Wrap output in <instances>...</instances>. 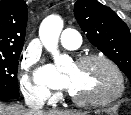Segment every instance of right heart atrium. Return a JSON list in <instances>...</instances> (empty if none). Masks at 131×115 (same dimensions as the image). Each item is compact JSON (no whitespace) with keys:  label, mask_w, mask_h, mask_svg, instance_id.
I'll use <instances>...</instances> for the list:
<instances>
[{"label":"right heart atrium","mask_w":131,"mask_h":115,"mask_svg":"<svg viewBox=\"0 0 131 115\" xmlns=\"http://www.w3.org/2000/svg\"><path fill=\"white\" fill-rule=\"evenodd\" d=\"M35 62L34 58H26L23 64V69L26 71ZM21 90L24 96L31 100L47 101L52 97L51 92L42 84L33 83L27 73H23L21 77Z\"/></svg>","instance_id":"d8ad5b80"}]
</instances>
